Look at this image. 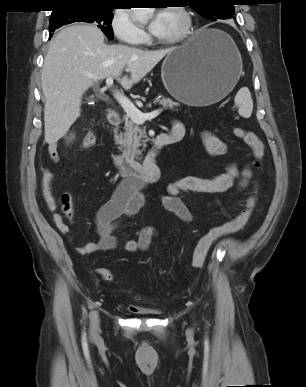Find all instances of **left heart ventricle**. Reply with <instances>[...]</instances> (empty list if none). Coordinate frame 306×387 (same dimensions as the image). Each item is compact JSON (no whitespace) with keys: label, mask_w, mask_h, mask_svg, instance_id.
Instances as JSON below:
<instances>
[{"label":"left heart ventricle","mask_w":306,"mask_h":387,"mask_svg":"<svg viewBox=\"0 0 306 387\" xmlns=\"http://www.w3.org/2000/svg\"><path fill=\"white\" fill-rule=\"evenodd\" d=\"M163 29L157 38L165 39L178 33L182 26V20L178 13L170 10H164Z\"/></svg>","instance_id":"obj_1"}]
</instances>
